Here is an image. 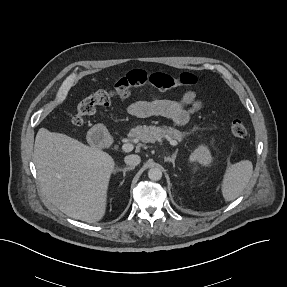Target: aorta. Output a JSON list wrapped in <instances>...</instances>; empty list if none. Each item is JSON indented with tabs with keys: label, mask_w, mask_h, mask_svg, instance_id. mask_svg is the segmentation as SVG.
<instances>
[{
	"label": "aorta",
	"mask_w": 287,
	"mask_h": 287,
	"mask_svg": "<svg viewBox=\"0 0 287 287\" xmlns=\"http://www.w3.org/2000/svg\"><path fill=\"white\" fill-rule=\"evenodd\" d=\"M148 177L152 181L160 180L162 178V171H161V169H159L157 167L149 169Z\"/></svg>",
	"instance_id": "aorta-1"
}]
</instances>
